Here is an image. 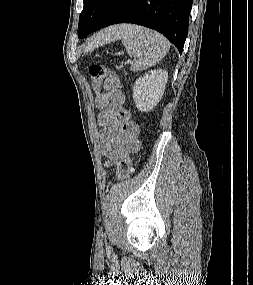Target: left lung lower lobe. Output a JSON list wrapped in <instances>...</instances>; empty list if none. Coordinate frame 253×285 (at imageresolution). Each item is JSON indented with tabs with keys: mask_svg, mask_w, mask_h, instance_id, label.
Segmentation results:
<instances>
[{
	"mask_svg": "<svg viewBox=\"0 0 253 285\" xmlns=\"http://www.w3.org/2000/svg\"><path fill=\"white\" fill-rule=\"evenodd\" d=\"M192 0H113L93 31L117 23L139 24L162 33L183 51Z\"/></svg>",
	"mask_w": 253,
	"mask_h": 285,
	"instance_id": "obj_1",
	"label": "left lung lower lobe"
}]
</instances>
